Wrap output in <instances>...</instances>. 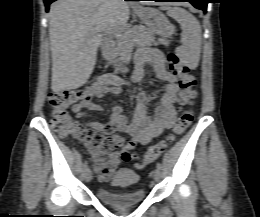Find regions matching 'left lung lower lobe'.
Instances as JSON below:
<instances>
[{
	"instance_id": "left-lung-lower-lobe-1",
	"label": "left lung lower lobe",
	"mask_w": 260,
	"mask_h": 217,
	"mask_svg": "<svg viewBox=\"0 0 260 217\" xmlns=\"http://www.w3.org/2000/svg\"><path fill=\"white\" fill-rule=\"evenodd\" d=\"M156 2H190L192 3L197 9L203 10L204 13L207 12V4L208 0H150Z\"/></svg>"
}]
</instances>
